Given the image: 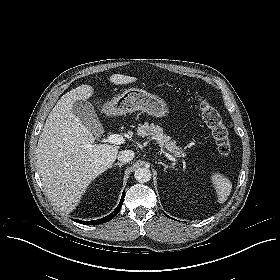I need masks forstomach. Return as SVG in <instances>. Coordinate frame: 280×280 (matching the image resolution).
I'll use <instances>...</instances> for the list:
<instances>
[{
	"mask_svg": "<svg viewBox=\"0 0 280 280\" xmlns=\"http://www.w3.org/2000/svg\"><path fill=\"white\" fill-rule=\"evenodd\" d=\"M107 112L113 115H125L142 111L150 116L161 118L169 113L167 103L157 95L139 88H130L105 104Z\"/></svg>",
	"mask_w": 280,
	"mask_h": 280,
	"instance_id": "obj_1",
	"label": "stomach"
}]
</instances>
